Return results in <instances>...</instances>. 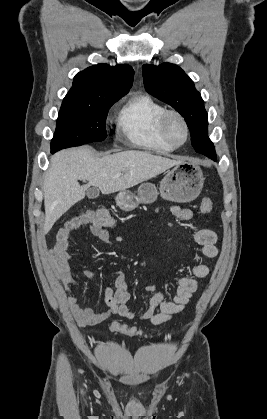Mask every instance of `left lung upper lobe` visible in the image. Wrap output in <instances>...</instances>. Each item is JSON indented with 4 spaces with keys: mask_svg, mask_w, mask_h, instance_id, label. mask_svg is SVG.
Here are the masks:
<instances>
[{
    "mask_svg": "<svg viewBox=\"0 0 267 419\" xmlns=\"http://www.w3.org/2000/svg\"><path fill=\"white\" fill-rule=\"evenodd\" d=\"M142 70L145 89L185 118L195 151L216 159L213 143L207 136L204 101L193 81L180 67L170 63L159 66L146 64Z\"/></svg>",
    "mask_w": 267,
    "mask_h": 419,
    "instance_id": "left-lung-upper-lobe-1",
    "label": "left lung upper lobe"
}]
</instances>
